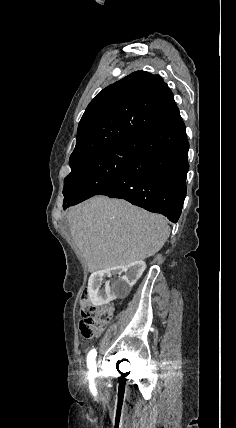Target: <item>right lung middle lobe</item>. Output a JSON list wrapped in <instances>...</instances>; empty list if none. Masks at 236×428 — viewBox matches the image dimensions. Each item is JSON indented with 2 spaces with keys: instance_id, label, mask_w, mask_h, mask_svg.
<instances>
[{
  "instance_id": "obj_1",
  "label": "right lung middle lobe",
  "mask_w": 236,
  "mask_h": 428,
  "mask_svg": "<svg viewBox=\"0 0 236 428\" xmlns=\"http://www.w3.org/2000/svg\"><path fill=\"white\" fill-rule=\"evenodd\" d=\"M138 151V140L120 142L72 165L65 178L63 208L78 204L109 185L130 163Z\"/></svg>"
}]
</instances>
